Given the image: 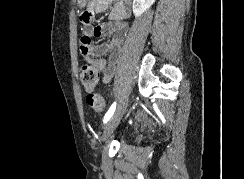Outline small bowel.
Wrapping results in <instances>:
<instances>
[{
	"label": "small bowel",
	"mask_w": 244,
	"mask_h": 179,
	"mask_svg": "<svg viewBox=\"0 0 244 179\" xmlns=\"http://www.w3.org/2000/svg\"><path fill=\"white\" fill-rule=\"evenodd\" d=\"M84 9L80 22L83 32L80 39V50L84 60L102 73L105 85L111 83L117 63L123 55V45L128 35L129 26L126 22L128 6L124 1L90 0ZM111 9L110 20L106 23L92 25L97 14ZM112 37L110 42L93 44L92 38ZM109 55L108 59L105 58Z\"/></svg>",
	"instance_id": "small-bowel-1"
}]
</instances>
